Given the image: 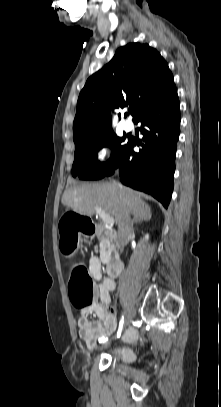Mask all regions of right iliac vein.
Instances as JSON below:
<instances>
[{
    "label": "right iliac vein",
    "instance_id": "right-iliac-vein-1",
    "mask_svg": "<svg viewBox=\"0 0 221 407\" xmlns=\"http://www.w3.org/2000/svg\"><path fill=\"white\" fill-rule=\"evenodd\" d=\"M133 317H134V309L131 308V309L128 310V313H127L126 318H125V323H124L125 327L129 325V322L131 321V319ZM107 344H109V343H107Z\"/></svg>",
    "mask_w": 221,
    "mask_h": 407
}]
</instances>
